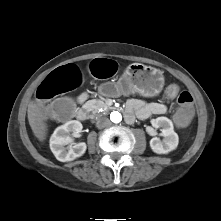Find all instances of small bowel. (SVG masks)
Returning a JSON list of instances; mask_svg holds the SVG:
<instances>
[{
	"label": "small bowel",
	"mask_w": 221,
	"mask_h": 221,
	"mask_svg": "<svg viewBox=\"0 0 221 221\" xmlns=\"http://www.w3.org/2000/svg\"><path fill=\"white\" fill-rule=\"evenodd\" d=\"M88 98L86 92L77 97L78 104L84 103ZM127 111L136 113L140 119H147L152 115H162L167 112V106L159 102H145L140 99H130L127 103Z\"/></svg>",
	"instance_id": "c3829d8e"
}]
</instances>
